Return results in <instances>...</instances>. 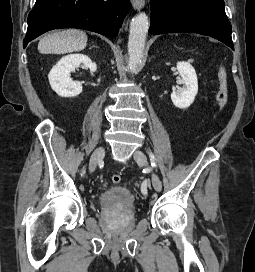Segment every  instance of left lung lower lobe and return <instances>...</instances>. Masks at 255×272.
Masks as SVG:
<instances>
[{"mask_svg": "<svg viewBox=\"0 0 255 272\" xmlns=\"http://www.w3.org/2000/svg\"><path fill=\"white\" fill-rule=\"evenodd\" d=\"M151 34L188 32L211 36L232 50L223 0H151Z\"/></svg>", "mask_w": 255, "mask_h": 272, "instance_id": "0a47b994", "label": "left lung lower lobe"}]
</instances>
